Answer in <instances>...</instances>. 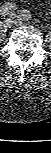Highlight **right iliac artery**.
<instances>
[{"mask_svg": "<svg viewBox=\"0 0 51 153\" xmlns=\"http://www.w3.org/2000/svg\"><path fill=\"white\" fill-rule=\"evenodd\" d=\"M16 5L14 3H5L1 9H0V12L2 14V16H7L9 15L10 13H12V11H14L16 9Z\"/></svg>", "mask_w": 51, "mask_h": 153, "instance_id": "1", "label": "right iliac artery"}]
</instances>
